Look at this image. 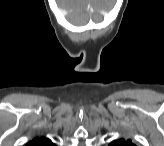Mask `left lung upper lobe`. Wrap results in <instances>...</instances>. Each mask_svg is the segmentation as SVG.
Wrapping results in <instances>:
<instances>
[{"label": "left lung upper lobe", "instance_id": "obj_1", "mask_svg": "<svg viewBox=\"0 0 164 146\" xmlns=\"http://www.w3.org/2000/svg\"><path fill=\"white\" fill-rule=\"evenodd\" d=\"M111 146H134L130 139L124 140L120 139L118 141H113Z\"/></svg>", "mask_w": 164, "mask_h": 146}]
</instances>
